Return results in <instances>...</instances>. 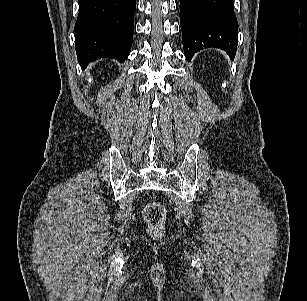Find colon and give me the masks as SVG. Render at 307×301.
<instances>
[{"mask_svg": "<svg viewBox=\"0 0 307 301\" xmlns=\"http://www.w3.org/2000/svg\"><path fill=\"white\" fill-rule=\"evenodd\" d=\"M165 215V209L159 202L149 203L144 210V218L156 234L162 231Z\"/></svg>", "mask_w": 307, "mask_h": 301, "instance_id": "1", "label": "colon"}]
</instances>
